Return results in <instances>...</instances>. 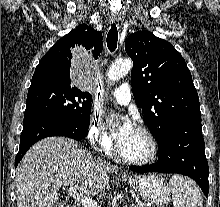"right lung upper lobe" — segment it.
Here are the masks:
<instances>
[{
    "mask_svg": "<svg viewBox=\"0 0 220 207\" xmlns=\"http://www.w3.org/2000/svg\"><path fill=\"white\" fill-rule=\"evenodd\" d=\"M77 46H83L96 59L102 51V33L83 24L63 36L40 60L33 74L31 86L39 84L71 86L72 50Z\"/></svg>",
    "mask_w": 220,
    "mask_h": 207,
    "instance_id": "obj_1",
    "label": "right lung upper lobe"
}]
</instances>
